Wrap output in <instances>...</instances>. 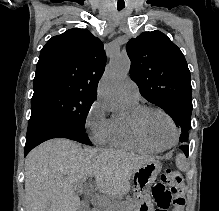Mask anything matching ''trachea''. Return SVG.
I'll list each match as a JSON object with an SVG mask.
<instances>
[{
  "instance_id": "obj_1",
  "label": "trachea",
  "mask_w": 219,
  "mask_h": 211,
  "mask_svg": "<svg viewBox=\"0 0 219 211\" xmlns=\"http://www.w3.org/2000/svg\"><path fill=\"white\" fill-rule=\"evenodd\" d=\"M125 7V5H118L117 8L118 10H122Z\"/></svg>"
}]
</instances>
